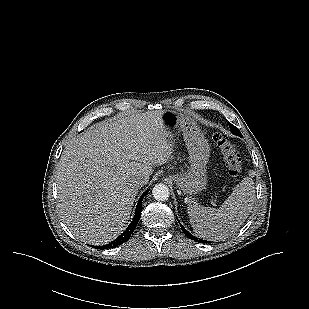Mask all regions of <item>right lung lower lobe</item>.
Wrapping results in <instances>:
<instances>
[{"label":"right lung lower lobe","instance_id":"right-lung-lower-lobe-1","mask_svg":"<svg viewBox=\"0 0 309 309\" xmlns=\"http://www.w3.org/2000/svg\"><path fill=\"white\" fill-rule=\"evenodd\" d=\"M149 192V190H146L142 196L139 198L137 206H136V210H135V215L134 218L132 220V222L130 223V225L128 226V228L120 235L118 236L114 241H112L111 243L104 245V246H94V248H101V249H109V248H114L117 247L121 244H123L124 242H126L131 234L134 232L137 223L141 217V211H142V200L144 198V196Z\"/></svg>","mask_w":309,"mask_h":309}]
</instances>
